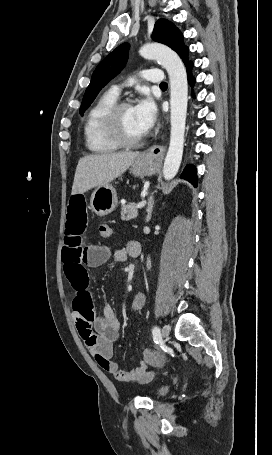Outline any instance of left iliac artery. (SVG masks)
I'll return each instance as SVG.
<instances>
[{"instance_id": "44dca946", "label": "left iliac artery", "mask_w": 272, "mask_h": 455, "mask_svg": "<svg viewBox=\"0 0 272 455\" xmlns=\"http://www.w3.org/2000/svg\"><path fill=\"white\" fill-rule=\"evenodd\" d=\"M152 334H153V338L154 340H159L160 337H161V334H160V329L159 327L157 326H154L153 329H152Z\"/></svg>"}]
</instances>
